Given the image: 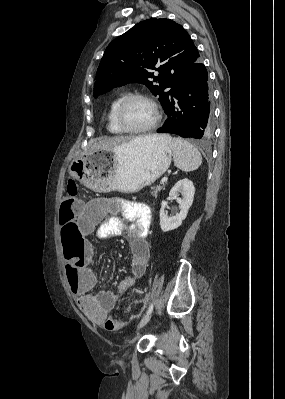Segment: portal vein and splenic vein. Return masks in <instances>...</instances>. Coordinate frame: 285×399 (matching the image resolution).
I'll return each mask as SVG.
<instances>
[{
  "mask_svg": "<svg viewBox=\"0 0 285 399\" xmlns=\"http://www.w3.org/2000/svg\"><path fill=\"white\" fill-rule=\"evenodd\" d=\"M167 180H168L167 177H163L162 180H161V182H162V183H165V182H167Z\"/></svg>",
  "mask_w": 285,
  "mask_h": 399,
  "instance_id": "portal-vein-and-splenic-vein-1",
  "label": "portal vein and splenic vein"
}]
</instances>
